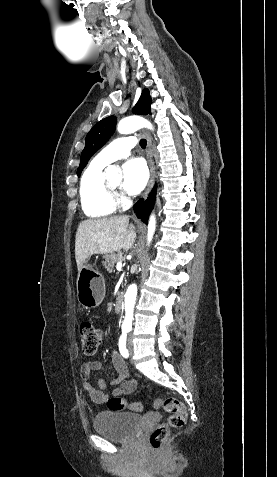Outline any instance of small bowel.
<instances>
[{
    "mask_svg": "<svg viewBox=\"0 0 277 477\" xmlns=\"http://www.w3.org/2000/svg\"><path fill=\"white\" fill-rule=\"evenodd\" d=\"M111 360L117 372V377L111 381L113 386H117L113 390L112 395L113 397L123 398V396L131 394L135 390L137 382L130 376L124 359L116 349H113L111 352ZM100 369L101 363L98 360L97 355L91 357V359L83 364L80 369V378L83 388L89 395L90 399L97 404H103L109 401V396L105 392L106 382L103 379H98V387L96 388L89 381L90 373Z\"/></svg>",
    "mask_w": 277,
    "mask_h": 477,
    "instance_id": "small-bowel-1",
    "label": "small bowel"
}]
</instances>
